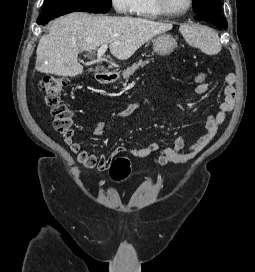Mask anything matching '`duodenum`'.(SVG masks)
Here are the masks:
<instances>
[{"label": "duodenum", "mask_w": 255, "mask_h": 272, "mask_svg": "<svg viewBox=\"0 0 255 272\" xmlns=\"http://www.w3.org/2000/svg\"><path fill=\"white\" fill-rule=\"evenodd\" d=\"M117 78V73L115 71H109V70H98L96 72V80L100 84H109L113 81H115Z\"/></svg>", "instance_id": "410a0bca"}]
</instances>
